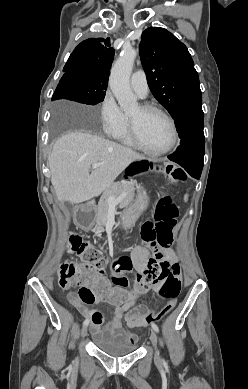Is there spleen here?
Returning a JSON list of instances; mask_svg holds the SVG:
<instances>
[{"mask_svg": "<svg viewBox=\"0 0 248 389\" xmlns=\"http://www.w3.org/2000/svg\"><path fill=\"white\" fill-rule=\"evenodd\" d=\"M187 200H188V194H185L184 201L187 202Z\"/></svg>", "mask_w": 248, "mask_h": 389, "instance_id": "3e777b00", "label": "spleen"}]
</instances>
